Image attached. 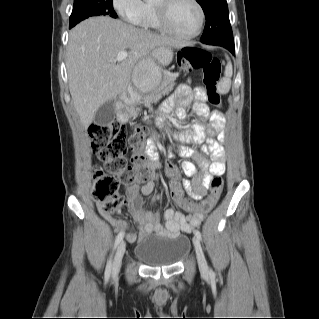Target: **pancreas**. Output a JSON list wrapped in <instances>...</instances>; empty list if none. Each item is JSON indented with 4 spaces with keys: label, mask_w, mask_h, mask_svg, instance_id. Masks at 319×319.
Returning <instances> with one entry per match:
<instances>
[{
    "label": "pancreas",
    "mask_w": 319,
    "mask_h": 319,
    "mask_svg": "<svg viewBox=\"0 0 319 319\" xmlns=\"http://www.w3.org/2000/svg\"><path fill=\"white\" fill-rule=\"evenodd\" d=\"M177 77L178 73L164 74L160 85L148 94H141L137 104L147 106L150 103L159 100L163 95L169 94L176 85L175 81ZM137 104H131L128 106V113L130 117L136 118L138 113L141 111V108L137 107Z\"/></svg>",
    "instance_id": "1"
}]
</instances>
